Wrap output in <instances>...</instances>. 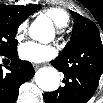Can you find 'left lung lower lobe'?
<instances>
[{
    "mask_svg": "<svg viewBox=\"0 0 103 103\" xmlns=\"http://www.w3.org/2000/svg\"><path fill=\"white\" fill-rule=\"evenodd\" d=\"M89 56H84V52ZM51 64L64 73L65 86L44 94L45 103H87L95 93L103 72V44L100 34H88L81 47L58 56Z\"/></svg>",
    "mask_w": 103,
    "mask_h": 103,
    "instance_id": "0a47b994",
    "label": "left lung lower lobe"
}]
</instances>
